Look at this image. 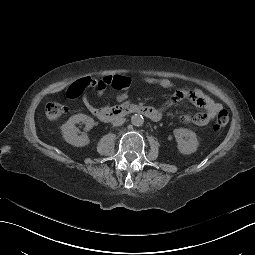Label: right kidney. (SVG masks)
Here are the masks:
<instances>
[{"instance_id":"ca27d5eb","label":"right kidney","mask_w":255,"mask_h":255,"mask_svg":"<svg viewBox=\"0 0 255 255\" xmlns=\"http://www.w3.org/2000/svg\"><path fill=\"white\" fill-rule=\"evenodd\" d=\"M83 122L86 125V130H90L94 126V120L85 115L77 114L69 118V120L61 126L62 134L66 142L74 146H85L89 143V138L86 134L78 135L79 130L75 127L76 123Z\"/></svg>"}]
</instances>
